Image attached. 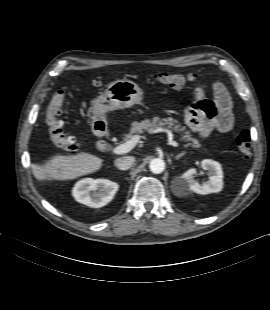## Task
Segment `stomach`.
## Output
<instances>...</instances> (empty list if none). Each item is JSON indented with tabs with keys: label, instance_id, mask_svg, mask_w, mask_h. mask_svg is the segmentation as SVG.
I'll use <instances>...</instances> for the list:
<instances>
[{
	"label": "stomach",
	"instance_id": "0dacf381",
	"mask_svg": "<svg viewBox=\"0 0 270 310\" xmlns=\"http://www.w3.org/2000/svg\"><path fill=\"white\" fill-rule=\"evenodd\" d=\"M142 89L133 81L121 79L111 82L91 106L92 126L105 123L108 111L131 107L143 98Z\"/></svg>",
	"mask_w": 270,
	"mask_h": 310
}]
</instances>
